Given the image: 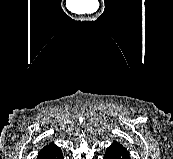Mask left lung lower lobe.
Returning <instances> with one entry per match:
<instances>
[{
	"label": "left lung lower lobe",
	"instance_id": "left-lung-lower-lobe-1",
	"mask_svg": "<svg viewBox=\"0 0 173 159\" xmlns=\"http://www.w3.org/2000/svg\"><path fill=\"white\" fill-rule=\"evenodd\" d=\"M103 159H131L129 152L125 147L117 142H113L111 146L106 149Z\"/></svg>",
	"mask_w": 173,
	"mask_h": 159
}]
</instances>
